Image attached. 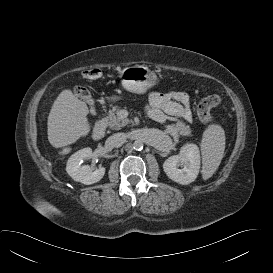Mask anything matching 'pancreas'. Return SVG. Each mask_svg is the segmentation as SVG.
<instances>
[{
  "label": "pancreas",
  "instance_id": "pancreas-1",
  "mask_svg": "<svg viewBox=\"0 0 273 273\" xmlns=\"http://www.w3.org/2000/svg\"><path fill=\"white\" fill-rule=\"evenodd\" d=\"M107 122L108 126L111 129L120 130L122 127L126 126L131 121L127 118H121L119 116V108L115 107L109 112L107 116ZM165 132L171 134L174 137H178L179 135L190 136L192 130L185 123L178 121L176 124L167 125Z\"/></svg>",
  "mask_w": 273,
  "mask_h": 273
}]
</instances>
